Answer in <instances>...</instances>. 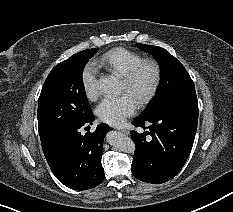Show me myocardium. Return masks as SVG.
I'll use <instances>...</instances> for the list:
<instances>
[{"label": "myocardium", "mask_w": 233, "mask_h": 212, "mask_svg": "<svg viewBox=\"0 0 233 212\" xmlns=\"http://www.w3.org/2000/svg\"><path fill=\"white\" fill-rule=\"evenodd\" d=\"M146 68H150L152 70L153 77L149 88L137 101L139 106L148 104L154 98L162 80V69L160 65L155 60H142L123 76L124 84L127 88H131L137 82L141 72Z\"/></svg>", "instance_id": "myocardium-1"}]
</instances>
